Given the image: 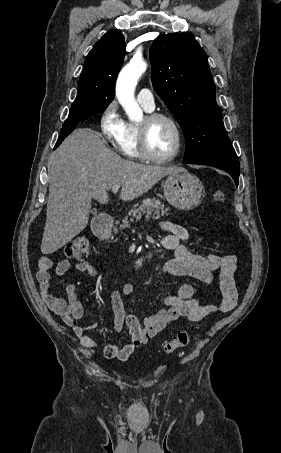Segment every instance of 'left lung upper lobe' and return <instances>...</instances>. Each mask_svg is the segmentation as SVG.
Segmentation results:
<instances>
[{"mask_svg": "<svg viewBox=\"0 0 281 453\" xmlns=\"http://www.w3.org/2000/svg\"><path fill=\"white\" fill-rule=\"evenodd\" d=\"M152 84L186 140L184 161L233 154L207 56L188 33L163 34L150 49Z\"/></svg>", "mask_w": 281, "mask_h": 453, "instance_id": "5c2ea615", "label": "left lung upper lobe"}]
</instances>
